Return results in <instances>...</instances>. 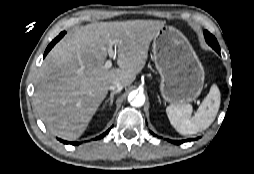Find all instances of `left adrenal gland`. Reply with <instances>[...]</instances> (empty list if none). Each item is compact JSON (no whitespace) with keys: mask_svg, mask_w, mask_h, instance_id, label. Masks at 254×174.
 <instances>
[{"mask_svg":"<svg viewBox=\"0 0 254 174\" xmlns=\"http://www.w3.org/2000/svg\"><path fill=\"white\" fill-rule=\"evenodd\" d=\"M157 97H158V101H159V103H161V100H160V97H159V95H157Z\"/></svg>","mask_w":254,"mask_h":174,"instance_id":"obj_1","label":"left adrenal gland"}]
</instances>
